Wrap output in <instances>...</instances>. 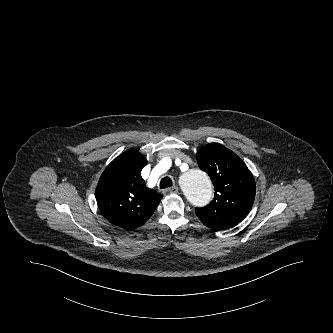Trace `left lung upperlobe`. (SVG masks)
<instances>
[{
  "mask_svg": "<svg viewBox=\"0 0 333 333\" xmlns=\"http://www.w3.org/2000/svg\"><path fill=\"white\" fill-rule=\"evenodd\" d=\"M196 159L200 169L210 176L215 190L209 205L196 208L197 217L217 231L234 227L253 205L256 192L253 175L233 151L219 143L201 148Z\"/></svg>",
  "mask_w": 333,
  "mask_h": 333,
  "instance_id": "obj_1",
  "label": "left lung upper lobe"
}]
</instances>
